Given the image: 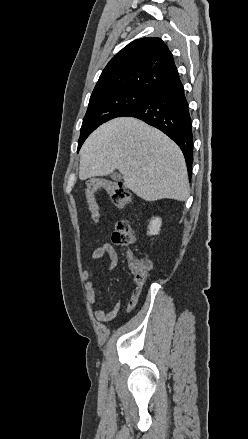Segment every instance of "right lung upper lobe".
<instances>
[{"label":"right lung upper lobe","instance_id":"cb5924a9","mask_svg":"<svg viewBox=\"0 0 248 439\" xmlns=\"http://www.w3.org/2000/svg\"><path fill=\"white\" fill-rule=\"evenodd\" d=\"M178 77L173 55L160 38L137 39L110 60L90 99L123 90L151 94Z\"/></svg>","mask_w":248,"mask_h":439}]
</instances>
